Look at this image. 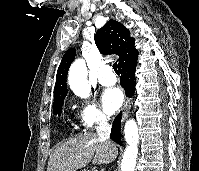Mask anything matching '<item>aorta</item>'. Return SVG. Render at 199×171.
<instances>
[{
	"label": "aorta",
	"instance_id": "1",
	"mask_svg": "<svg viewBox=\"0 0 199 171\" xmlns=\"http://www.w3.org/2000/svg\"><path fill=\"white\" fill-rule=\"evenodd\" d=\"M87 73L86 64L83 59L74 61L68 73V83L71 90L81 98L88 97L91 91L87 80ZM124 133L127 147L123 155L121 171H134L139 142L138 126L135 120L130 119L126 122Z\"/></svg>",
	"mask_w": 199,
	"mask_h": 171
}]
</instances>
